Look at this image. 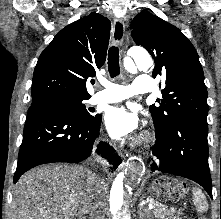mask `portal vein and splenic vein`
Instances as JSON below:
<instances>
[{
    "label": "portal vein and splenic vein",
    "instance_id": "obj_1",
    "mask_svg": "<svg viewBox=\"0 0 221 219\" xmlns=\"http://www.w3.org/2000/svg\"><path fill=\"white\" fill-rule=\"evenodd\" d=\"M153 209V204H149V210Z\"/></svg>",
    "mask_w": 221,
    "mask_h": 219
}]
</instances>
